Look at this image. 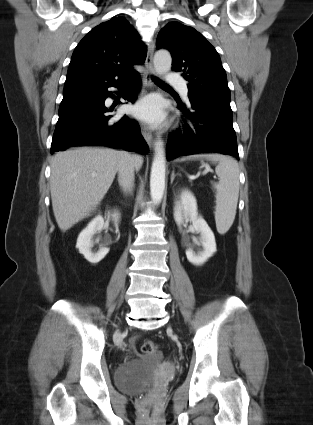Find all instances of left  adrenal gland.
<instances>
[{"label":"left adrenal gland","instance_id":"1","mask_svg":"<svg viewBox=\"0 0 313 425\" xmlns=\"http://www.w3.org/2000/svg\"><path fill=\"white\" fill-rule=\"evenodd\" d=\"M178 175H180V174L179 173L175 174V171L174 170L172 171V173H171V184L173 183L174 178Z\"/></svg>","mask_w":313,"mask_h":425}]
</instances>
